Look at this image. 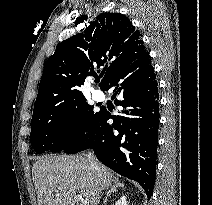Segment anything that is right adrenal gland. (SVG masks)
<instances>
[{
	"instance_id": "obj_1",
	"label": "right adrenal gland",
	"mask_w": 212,
	"mask_h": 205,
	"mask_svg": "<svg viewBox=\"0 0 212 205\" xmlns=\"http://www.w3.org/2000/svg\"><path fill=\"white\" fill-rule=\"evenodd\" d=\"M123 188L124 185L121 184V183H117V185L113 188H111L110 190H108V192L106 193V197H105V200H104V205L107 204L108 202V198L111 196L112 193H115L117 191V188Z\"/></svg>"
}]
</instances>
